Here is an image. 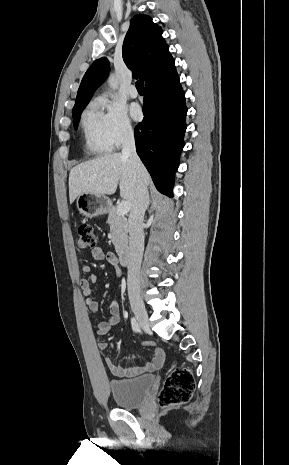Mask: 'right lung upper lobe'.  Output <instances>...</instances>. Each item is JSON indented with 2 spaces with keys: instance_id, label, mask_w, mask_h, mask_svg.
I'll return each instance as SVG.
<instances>
[{
  "instance_id": "1",
  "label": "right lung upper lobe",
  "mask_w": 289,
  "mask_h": 465,
  "mask_svg": "<svg viewBox=\"0 0 289 465\" xmlns=\"http://www.w3.org/2000/svg\"><path fill=\"white\" fill-rule=\"evenodd\" d=\"M122 56L134 78H143L145 87L177 76L175 61L162 37V29L150 16L135 15L124 39ZM109 62L102 57L86 71L77 92L76 102L89 100L108 72Z\"/></svg>"
}]
</instances>
